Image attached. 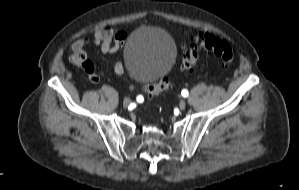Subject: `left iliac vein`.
I'll list each match as a JSON object with an SVG mask.
<instances>
[{
  "label": "left iliac vein",
  "instance_id": "obj_1",
  "mask_svg": "<svg viewBox=\"0 0 299 190\" xmlns=\"http://www.w3.org/2000/svg\"><path fill=\"white\" fill-rule=\"evenodd\" d=\"M179 108L180 110H184L186 108V102L184 100L179 102Z\"/></svg>",
  "mask_w": 299,
  "mask_h": 190
}]
</instances>
